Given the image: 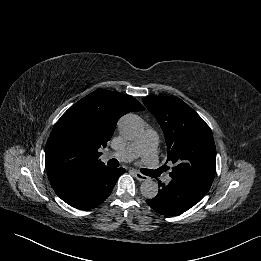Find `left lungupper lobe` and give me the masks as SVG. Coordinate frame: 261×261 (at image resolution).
Returning <instances> with one entry per match:
<instances>
[{
    "label": "left lung upper lobe",
    "mask_w": 261,
    "mask_h": 261,
    "mask_svg": "<svg viewBox=\"0 0 261 261\" xmlns=\"http://www.w3.org/2000/svg\"><path fill=\"white\" fill-rule=\"evenodd\" d=\"M142 101L164 132L167 162L176 165L170 177L190 178L211 185L216 147L206 122L179 98L154 96L144 97Z\"/></svg>",
    "instance_id": "1"
}]
</instances>
